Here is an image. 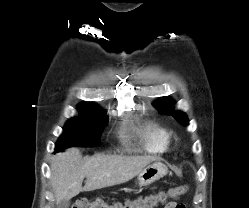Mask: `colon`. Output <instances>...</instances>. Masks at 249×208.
<instances>
[{
  "label": "colon",
  "instance_id": "obj_1",
  "mask_svg": "<svg viewBox=\"0 0 249 208\" xmlns=\"http://www.w3.org/2000/svg\"><path fill=\"white\" fill-rule=\"evenodd\" d=\"M186 192V186H178L171 188L166 192L162 191L156 194L140 196L126 201L106 202L102 199H80L72 206V208H155L158 205L167 203L169 199H178ZM179 208L185 207L180 204Z\"/></svg>",
  "mask_w": 249,
  "mask_h": 208
}]
</instances>
